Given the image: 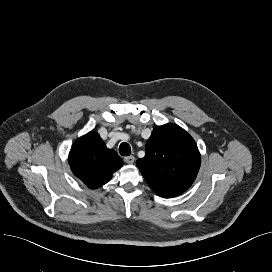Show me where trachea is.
Returning a JSON list of instances; mask_svg holds the SVG:
<instances>
[{
    "mask_svg": "<svg viewBox=\"0 0 272 272\" xmlns=\"http://www.w3.org/2000/svg\"><path fill=\"white\" fill-rule=\"evenodd\" d=\"M119 153L122 156H129L131 154V147L128 143L123 142L119 146Z\"/></svg>",
    "mask_w": 272,
    "mask_h": 272,
    "instance_id": "obj_1",
    "label": "trachea"
}]
</instances>
